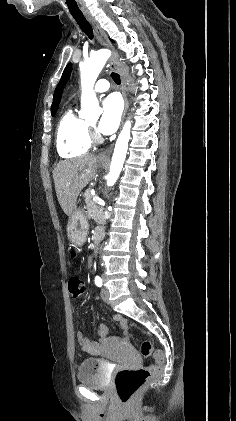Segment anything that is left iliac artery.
Listing matches in <instances>:
<instances>
[{"label":"left iliac artery","mask_w":236,"mask_h":421,"mask_svg":"<svg viewBox=\"0 0 236 421\" xmlns=\"http://www.w3.org/2000/svg\"><path fill=\"white\" fill-rule=\"evenodd\" d=\"M95 284H96L98 287H101V286H102V279H101L99 276H96V277H95Z\"/></svg>","instance_id":"44dca946"}]
</instances>
